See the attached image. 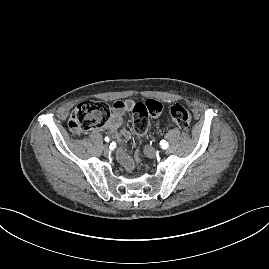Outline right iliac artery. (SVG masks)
<instances>
[{"label":"right iliac artery","mask_w":269,"mask_h":269,"mask_svg":"<svg viewBox=\"0 0 269 269\" xmlns=\"http://www.w3.org/2000/svg\"><path fill=\"white\" fill-rule=\"evenodd\" d=\"M109 140H110L109 137H105L106 142H109Z\"/></svg>","instance_id":"82829eb1"}]
</instances>
